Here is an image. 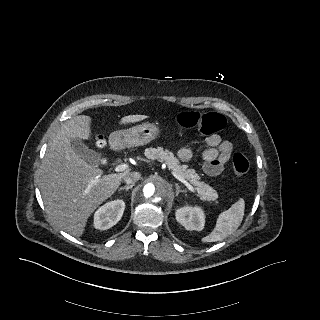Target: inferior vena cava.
Wrapping results in <instances>:
<instances>
[{
	"label": "inferior vena cava",
	"mask_w": 320,
	"mask_h": 320,
	"mask_svg": "<svg viewBox=\"0 0 320 320\" xmlns=\"http://www.w3.org/2000/svg\"><path fill=\"white\" fill-rule=\"evenodd\" d=\"M141 177L139 172H129L124 176V182L126 184H134L136 183Z\"/></svg>",
	"instance_id": "1"
}]
</instances>
